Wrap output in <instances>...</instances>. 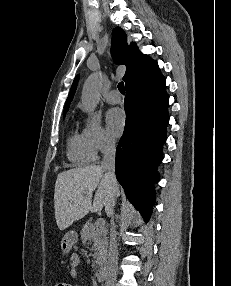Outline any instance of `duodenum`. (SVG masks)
Instances as JSON below:
<instances>
[{
  "mask_svg": "<svg viewBox=\"0 0 231 286\" xmlns=\"http://www.w3.org/2000/svg\"><path fill=\"white\" fill-rule=\"evenodd\" d=\"M95 277H96V280L99 282V283H103L106 279V273H105V269L102 267V268H99L97 271H96V274H95Z\"/></svg>",
  "mask_w": 231,
  "mask_h": 286,
  "instance_id": "obj_1",
  "label": "duodenum"
}]
</instances>
